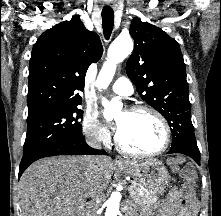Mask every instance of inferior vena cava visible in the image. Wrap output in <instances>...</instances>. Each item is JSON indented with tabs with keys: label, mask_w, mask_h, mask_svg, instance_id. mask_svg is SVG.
<instances>
[{
	"label": "inferior vena cava",
	"mask_w": 221,
	"mask_h": 216,
	"mask_svg": "<svg viewBox=\"0 0 221 216\" xmlns=\"http://www.w3.org/2000/svg\"><path fill=\"white\" fill-rule=\"evenodd\" d=\"M88 144L94 148L101 149V141L97 137H90L88 139ZM88 168L92 174H94V179L97 180L98 172V157H89ZM92 189V200L91 203L87 206L86 216H97V210L100 206V196L102 193L101 186L95 182Z\"/></svg>",
	"instance_id": "602c4592"
}]
</instances>
